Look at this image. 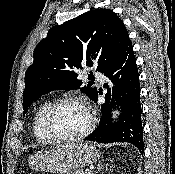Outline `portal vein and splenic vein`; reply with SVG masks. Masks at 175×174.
Masks as SVG:
<instances>
[{"label":"portal vein and splenic vein","instance_id":"1","mask_svg":"<svg viewBox=\"0 0 175 174\" xmlns=\"http://www.w3.org/2000/svg\"><path fill=\"white\" fill-rule=\"evenodd\" d=\"M86 174H91V171H90V170H87V171H86Z\"/></svg>","mask_w":175,"mask_h":174}]
</instances>
